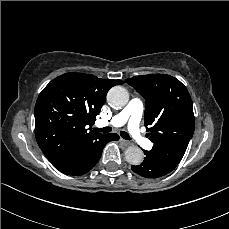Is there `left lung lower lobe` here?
<instances>
[{
  "mask_svg": "<svg viewBox=\"0 0 229 229\" xmlns=\"http://www.w3.org/2000/svg\"><path fill=\"white\" fill-rule=\"evenodd\" d=\"M144 154L146 156L144 158V161L140 165L131 166L132 170L135 173L145 178L156 179V178L162 177L171 172V171L162 169L157 163H155L148 155V151H144Z\"/></svg>",
  "mask_w": 229,
  "mask_h": 229,
  "instance_id": "1",
  "label": "left lung lower lobe"
}]
</instances>
